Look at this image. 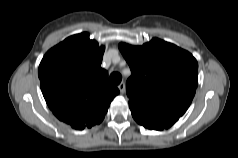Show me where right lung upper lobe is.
Returning <instances> with one entry per match:
<instances>
[{
  "instance_id": "1",
  "label": "right lung upper lobe",
  "mask_w": 238,
  "mask_h": 158,
  "mask_svg": "<svg viewBox=\"0 0 238 158\" xmlns=\"http://www.w3.org/2000/svg\"><path fill=\"white\" fill-rule=\"evenodd\" d=\"M104 50L84 32L68 37L44 55L38 69L40 86L59 120L71 126L103 120L119 94L100 67Z\"/></svg>"
}]
</instances>
